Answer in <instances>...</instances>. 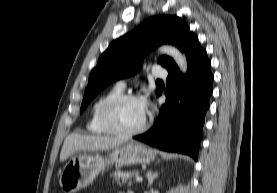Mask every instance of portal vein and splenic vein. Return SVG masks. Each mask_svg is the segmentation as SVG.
I'll return each mask as SVG.
<instances>
[{
  "label": "portal vein and splenic vein",
  "mask_w": 277,
  "mask_h": 193,
  "mask_svg": "<svg viewBox=\"0 0 277 193\" xmlns=\"http://www.w3.org/2000/svg\"><path fill=\"white\" fill-rule=\"evenodd\" d=\"M136 182H142L143 178L141 176H137L135 178Z\"/></svg>",
  "instance_id": "1"
}]
</instances>
